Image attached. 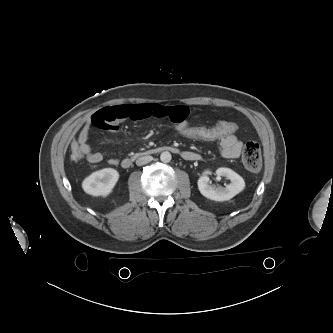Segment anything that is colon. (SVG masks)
Here are the masks:
<instances>
[{
    "label": "colon",
    "mask_w": 333,
    "mask_h": 333,
    "mask_svg": "<svg viewBox=\"0 0 333 333\" xmlns=\"http://www.w3.org/2000/svg\"><path fill=\"white\" fill-rule=\"evenodd\" d=\"M237 125L233 122L220 121L212 126H175V133L181 137L204 142L220 141L221 139L236 133ZM84 157L80 145L72 142L70 145V158L78 161ZM244 166L257 172L262 165L261 149L257 142L249 141L245 144L242 153Z\"/></svg>",
    "instance_id": "1"
}]
</instances>
